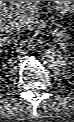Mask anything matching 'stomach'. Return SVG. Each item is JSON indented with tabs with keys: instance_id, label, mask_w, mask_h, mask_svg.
I'll use <instances>...</instances> for the list:
<instances>
[{
	"instance_id": "stomach-1",
	"label": "stomach",
	"mask_w": 74,
	"mask_h": 122,
	"mask_svg": "<svg viewBox=\"0 0 74 122\" xmlns=\"http://www.w3.org/2000/svg\"><path fill=\"white\" fill-rule=\"evenodd\" d=\"M56 8L62 13H71L74 9V1H54Z\"/></svg>"
}]
</instances>
